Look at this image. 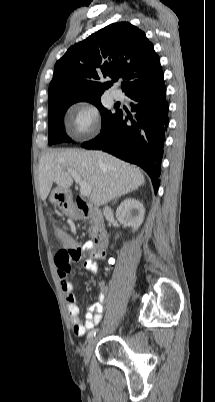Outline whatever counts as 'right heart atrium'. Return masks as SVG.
Listing matches in <instances>:
<instances>
[{
    "mask_svg": "<svg viewBox=\"0 0 215 402\" xmlns=\"http://www.w3.org/2000/svg\"><path fill=\"white\" fill-rule=\"evenodd\" d=\"M99 125V112L88 102H78L71 108V132L78 139L91 137Z\"/></svg>",
    "mask_w": 215,
    "mask_h": 402,
    "instance_id": "obj_1",
    "label": "right heart atrium"
}]
</instances>
